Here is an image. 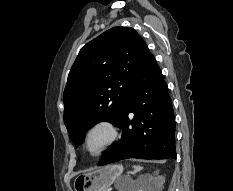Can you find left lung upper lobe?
I'll return each instance as SVG.
<instances>
[{"mask_svg":"<svg viewBox=\"0 0 233 191\" xmlns=\"http://www.w3.org/2000/svg\"><path fill=\"white\" fill-rule=\"evenodd\" d=\"M149 54L141 36L128 27L111 28L80 50L63 93L64 122L76 147L94 124L118 125L132 82Z\"/></svg>","mask_w":233,"mask_h":191,"instance_id":"obj_1","label":"left lung upper lobe"}]
</instances>
